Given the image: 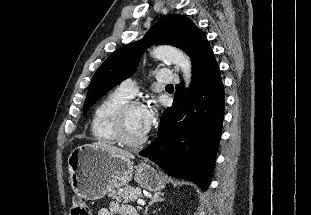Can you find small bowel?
Here are the masks:
<instances>
[{
  "instance_id": "1",
  "label": "small bowel",
  "mask_w": 311,
  "mask_h": 215,
  "mask_svg": "<svg viewBox=\"0 0 311 215\" xmlns=\"http://www.w3.org/2000/svg\"><path fill=\"white\" fill-rule=\"evenodd\" d=\"M97 215H138L136 210L125 204L112 201L106 207L100 209Z\"/></svg>"
}]
</instances>
